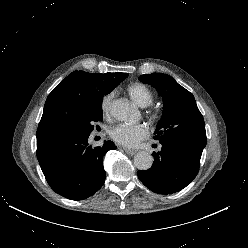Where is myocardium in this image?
<instances>
[{"label":"myocardium","instance_id":"obj_1","mask_svg":"<svg viewBox=\"0 0 248 248\" xmlns=\"http://www.w3.org/2000/svg\"><path fill=\"white\" fill-rule=\"evenodd\" d=\"M151 115H152V117H156V114L155 113H152Z\"/></svg>","mask_w":248,"mask_h":248}]
</instances>
